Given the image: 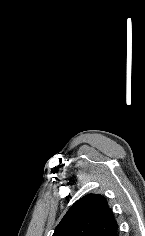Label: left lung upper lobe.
I'll return each mask as SVG.
<instances>
[{
    "label": "left lung upper lobe",
    "mask_w": 145,
    "mask_h": 236,
    "mask_svg": "<svg viewBox=\"0 0 145 236\" xmlns=\"http://www.w3.org/2000/svg\"><path fill=\"white\" fill-rule=\"evenodd\" d=\"M53 236H118V225L106 199L88 194L72 205Z\"/></svg>",
    "instance_id": "left-lung-upper-lobe-1"
}]
</instances>
